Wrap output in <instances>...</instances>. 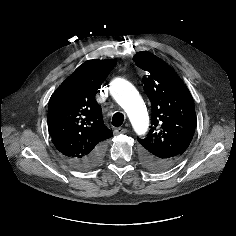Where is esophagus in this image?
I'll return each instance as SVG.
<instances>
[{
    "label": "esophagus",
    "instance_id": "34e87169",
    "mask_svg": "<svg viewBox=\"0 0 236 236\" xmlns=\"http://www.w3.org/2000/svg\"><path fill=\"white\" fill-rule=\"evenodd\" d=\"M126 132H127L126 128L119 127V128L114 129V134H124Z\"/></svg>",
    "mask_w": 236,
    "mask_h": 236
}]
</instances>
